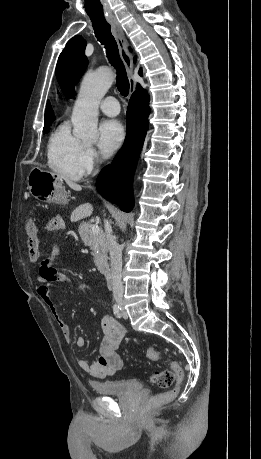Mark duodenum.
I'll return each mask as SVG.
<instances>
[{
    "mask_svg": "<svg viewBox=\"0 0 261 459\" xmlns=\"http://www.w3.org/2000/svg\"><path fill=\"white\" fill-rule=\"evenodd\" d=\"M101 271L104 274L107 282L109 284H112V271L111 268L108 265H104L101 267Z\"/></svg>",
    "mask_w": 261,
    "mask_h": 459,
    "instance_id": "410a0bca",
    "label": "duodenum"
}]
</instances>
